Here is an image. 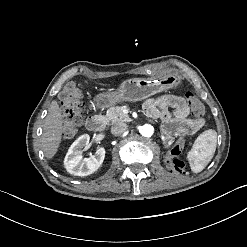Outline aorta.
Returning <instances> with one entry per match:
<instances>
[{
	"label": "aorta",
	"mask_w": 247,
	"mask_h": 247,
	"mask_svg": "<svg viewBox=\"0 0 247 247\" xmlns=\"http://www.w3.org/2000/svg\"><path fill=\"white\" fill-rule=\"evenodd\" d=\"M140 133L144 137H151L153 135V133H154V128L150 124H144L141 127Z\"/></svg>",
	"instance_id": "1"
}]
</instances>
